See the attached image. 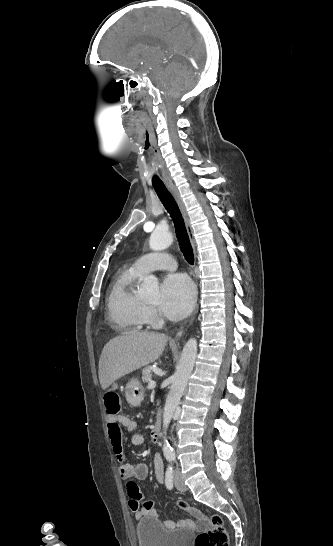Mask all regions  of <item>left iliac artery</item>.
<instances>
[{
  "label": "left iliac artery",
  "instance_id": "left-iliac-artery-1",
  "mask_svg": "<svg viewBox=\"0 0 333 546\" xmlns=\"http://www.w3.org/2000/svg\"><path fill=\"white\" fill-rule=\"evenodd\" d=\"M168 459L170 460H175V455L174 454H170L167 456Z\"/></svg>",
  "mask_w": 333,
  "mask_h": 546
}]
</instances>
